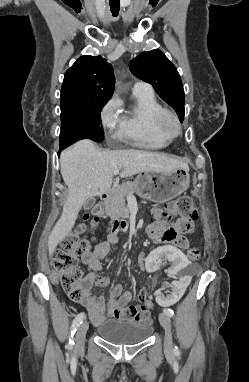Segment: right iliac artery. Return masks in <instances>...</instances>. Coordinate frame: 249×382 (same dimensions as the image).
<instances>
[{"instance_id": "right-iliac-artery-1", "label": "right iliac artery", "mask_w": 249, "mask_h": 382, "mask_svg": "<svg viewBox=\"0 0 249 382\" xmlns=\"http://www.w3.org/2000/svg\"><path fill=\"white\" fill-rule=\"evenodd\" d=\"M84 319H85V313L81 312L75 317L74 321L72 322L71 329H70V339H69V345L70 346H72L74 344V341L72 338H73L77 328L80 326V324H82Z\"/></svg>"}]
</instances>
